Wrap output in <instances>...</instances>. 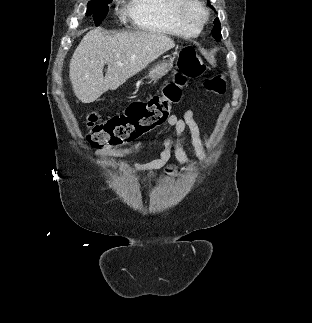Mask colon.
Wrapping results in <instances>:
<instances>
[{
	"label": "colon",
	"mask_w": 312,
	"mask_h": 323,
	"mask_svg": "<svg viewBox=\"0 0 312 323\" xmlns=\"http://www.w3.org/2000/svg\"><path fill=\"white\" fill-rule=\"evenodd\" d=\"M179 72L167 83L159 94L147 99L133 101L126 112L109 121L101 122V111L93 110L87 116V139L95 148L116 146L141 138L164 123L171 114V105L181 98L182 87L188 79L197 78L206 66L193 46H186L178 53ZM205 89L217 96H224L226 84L222 76H212L204 81ZM170 171V166H165Z\"/></svg>",
	"instance_id": "5ec220e1"
}]
</instances>
